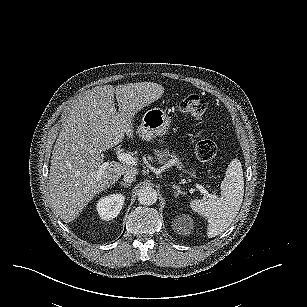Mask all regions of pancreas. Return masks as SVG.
Listing matches in <instances>:
<instances>
[{"label": "pancreas", "mask_w": 307, "mask_h": 307, "mask_svg": "<svg viewBox=\"0 0 307 307\" xmlns=\"http://www.w3.org/2000/svg\"><path fill=\"white\" fill-rule=\"evenodd\" d=\"M154 154L159 164L171 166H177L179 169L182 166L180 159L175 154L170 153L168 149L155 150Z\"/></svg>", "instance_id": "pancreas-1"}]
</instances>
